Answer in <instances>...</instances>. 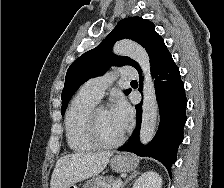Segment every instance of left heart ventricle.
Instances as JSON below:
<instances>
[{"instance_id":"left-heart-ventricle-1","label":"left heart ventricle","mask_w":224,"mask_h":188,"mask_svg":"<svg viewBox=\"0 0 224 188\" xmlns=\"http://www.w3.org/2000/svg\"><path fill=\"white\" fill-rule=\"evenodd\" d=\"M124 128L114 117L110 110H102L98 114V131L100 136L108 141L117 139L123 132Z\"/></svg>"}]
</instances>
